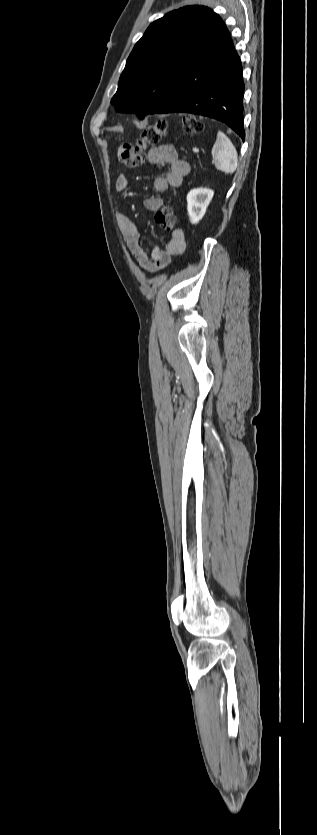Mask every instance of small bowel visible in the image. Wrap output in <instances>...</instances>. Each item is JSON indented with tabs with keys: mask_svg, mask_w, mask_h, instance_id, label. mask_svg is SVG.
I'll list each match as a JSON object with an SVG mask.
<instances>
[{
	"mask_svg": "<svg viewBox=\"0 0 317 835\" xmlns=\"http://www.w3.org/2000/svg\"><path fill=\"white\" fill-rule=\"evenodd\" d=\"M148 159L153 165L166 167L164 174L156 177L153 182L154 191L158 194L167 192L170 187L180 186L190 171L189 163L179 158L176 148L171 144L152 147ZM115 187L118 192H126L129 188L128 177L120 174ZM162 204L161 197H151L144 201L146 209L152 212L159 210ZM116 219L126 244L140 267L148 273L163 269L171 262L173 256L184 252L185 238L182 230L174 232L164 250L154 247L148 253L141 244V233L136 223L123 213H118Z\"/></svg>",
	"mask_w": 317,
	"mask_h": 835,
	"instance_id": "obj_1",
	"label": "small bowel"
}]
</instances>
